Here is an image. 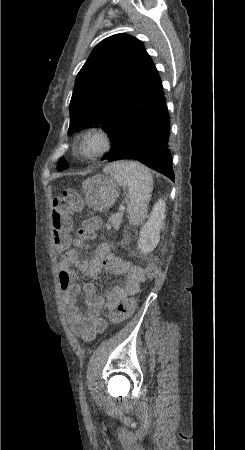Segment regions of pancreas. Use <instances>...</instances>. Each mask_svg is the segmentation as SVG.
<instances>
[{
    "mask_svg": "<svg viewBox=\"0 0 245 450\" xmlns=\"http://www.w3.org/2000/svg\"><path fill=\"white\" fill-rule=\"evenodd\" d=\"M122 220V214H113L110 217L109 222L113 225L115 229H118Z\"/></svg>",
    "mask_w": 245,
    "mask_h": 450,
    "instance_id": "cf45deb5",
    "label": "pancreas"
}]
</instances>
